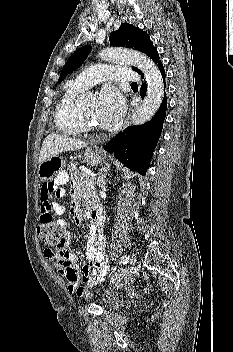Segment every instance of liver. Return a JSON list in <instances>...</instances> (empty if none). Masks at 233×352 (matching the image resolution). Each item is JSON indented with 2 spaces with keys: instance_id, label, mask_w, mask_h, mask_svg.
<instances>
[{
  "instance_id": "1",
  "label": "liver",
  "mask_w": 233,
  "mask_h": 352,
  "mask_svg": "<svg viewBox=\"0 0 233 352\" xmlns=\"http://www.w3.org/2000/svg\"><path fill=\"white\" fill-rule=\"evenodd\" d=\"M88 144L84 141H80L74 138H70L59 134H49L43 141L40 155H39V165L46 159L58 156L59 153L79 150L86 147Z\"/></svg>"
}]
</instances>
